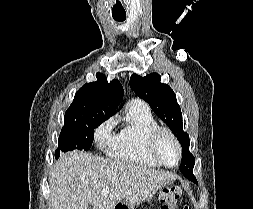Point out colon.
<instances>
[{
    "instance_id": "1",
    "label": "colon",
    "mask_w": 253,
    "mask_h": 209,
    "mask_svg": "<svg viewBox=\"0 0 253 209\" xmlns=\"http://www.w3.org/2000/svg\"><path fill=\"white\" fill-rule=\"evenodd\" d=\"M163 195V199L168 205L163 206L161 209H170V206H172L177 200L181 198L182 188L181 186L174 184L166 188ZM183 209H188V207L184 206Z\"/></svg>"
}]
</instances>
